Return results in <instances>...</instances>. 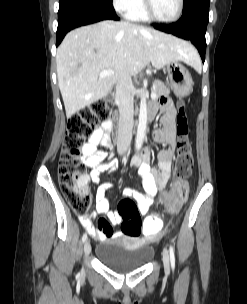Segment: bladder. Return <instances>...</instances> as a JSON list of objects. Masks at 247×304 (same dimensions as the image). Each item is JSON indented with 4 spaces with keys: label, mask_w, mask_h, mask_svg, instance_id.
Segmentation results:
<instances>
[{
    "label": "bladder",
    "mask_w": 247,
    "mask_h": 304,
    "mask_svg": "<svg viewBox=\"0 0 247 304\" xmlns=\"http://www.w3.org/2000/svg\"><path fill=\"white\" fill-rule=\"evenodd\" d=\"M154 256V248L136 243L131 238L102 241L96 248L98 261L116 273H128L146 266Z\"/></svg>",
    "instance_id": "1"
}]
</instances>
